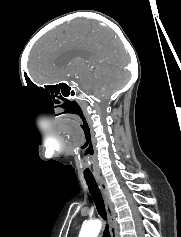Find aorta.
Instances as JSON below:
<instances>
[{
    "mask_svg": "<svg viewBox=\"0 0 181 237\" xmlns=\"http://www.w3.org/2000/svg\"><path fill=\"white\" fill-rule=\"evenodd\" d=\"M102 227L100 220H92L83 224L79 237H97Z\"/></svg>",
    "mask_w": 181,
    "mask_h": 237,
    "instance_id": "1",
    "label": "aorta"
}]
</instances>
